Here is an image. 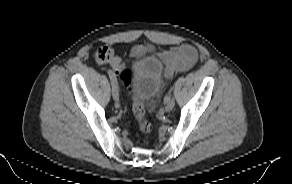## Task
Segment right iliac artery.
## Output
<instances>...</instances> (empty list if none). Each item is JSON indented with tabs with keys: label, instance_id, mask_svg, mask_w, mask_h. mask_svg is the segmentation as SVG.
Wrapping results in <instances>:
<instances>
[{
	"label": "right iliac artery",
	"instance_id": "82829eb1",
	"mask_svg": "<svg viewBox=\"0 0 292 184\" xmlns=\"http://www.w3.org/2000/svg\"><path fill=\"white\" fill-rule=\"evenodd\" d=\"M108 75L110 77L112 84L117 82L116 77H115L114 73L112 72V70H108Z\"/></svg>",
	"mask_w": 292,
	"mask_h": 184
}]
</instances>
